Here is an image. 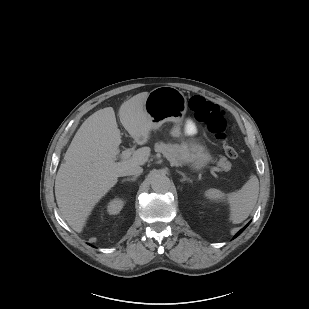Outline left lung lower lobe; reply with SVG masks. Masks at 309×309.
<instances>
[{
	"instance_id": "0a47b994",
	"label": "left lung lower lobe",
	"mask_w": 309,
	"mask_h": 309,
	"mask_svg": "<svg viewBox=\"0 0 309 309\" xmlns=\"http://www.w3.org/2000/svg\"><path fill=\"white\" fill-rule=\"evenodd\" d=\"M247 226H248V224H247L243 229H241V230L235 235L234 238H236L237 236H239V235L244 231V229H245Z\"/></svg>"
}]
</instances>
